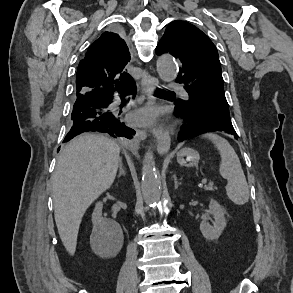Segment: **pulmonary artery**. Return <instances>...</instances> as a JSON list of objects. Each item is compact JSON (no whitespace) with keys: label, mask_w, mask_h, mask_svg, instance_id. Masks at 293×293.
I'll return each mask as SVG.
<instances>
[{"label":"pulmonary artery","mask_w":293,"mask_h":293,"mask_svg":"<svg viewBox=\"0 0 293 293\" xmlns=\"http://www.w3.org/2000/svg\"><path fill=\"white\" fill-rule=\"evenodd\" d=\"M169 86L170 88L179 91L183 96H187L186 91L180 85L170 83Z\"/></svg>","instance_id":"1"}]
</instances>
